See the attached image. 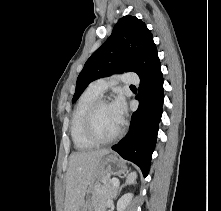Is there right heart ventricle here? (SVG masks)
<instances>
[{
  "instance_id": "right-heart-ventricle-1",
  "label": "right heart ventricle",
  "mask_w": 221,
  "mask_h": 211,
  "mask_svg": "<svg viewBox=\"0 0 221 211\" xmlns=\"http://www.w3.org/2000/svg\"><path fill=\"white\" fill-rule=\"evenodd\" d=\"M101 93L89 86L78 99L73 110L71 119V138L74 146L78 150H87L95 146L84 134L83 124L85 114L90 105L99 97Z\"/></svg>"
}]
</instances>
